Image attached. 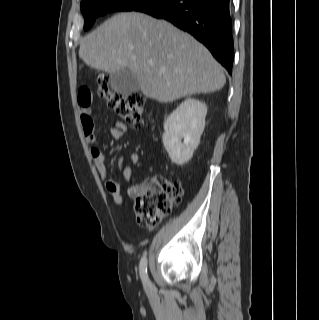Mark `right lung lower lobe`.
Segmentation results:
<instances>
[{"label":"right lung lower lobe","mask_w":319,"mask_h":320,"mask_svg":"<svg viewBox=\"0 0 319 320\" xmlns=\"http://www.w3.org/2000/svg\"><path fill=\"white\" fill-rule=\"evenodd\" d=\"M229 4L230 0H156L137 11L192 34L231 74L234 48Z\"/></svg>","instance_id":"98d812e1"}]
</instances>
